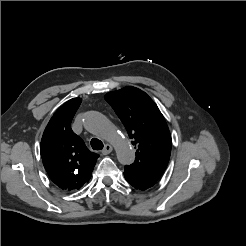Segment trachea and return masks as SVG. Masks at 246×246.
I'll list each match as a JSON object with an SVG mask.
<instances>
[{"instance_id": "1", "label": "trachea", "mask_w": 246, "mask_h": 246, "mask_svg": "<svg viewBox=\"0 0 246 246\" xmlns=\"http://www.w3.org/2000/svg\"><path fill=\"white\" fill-rule=\"evenodd\" d=\"M92 149L101 150L103 149V143L97 138H93L90 142Z\"/></svg>"}]
</instances>
